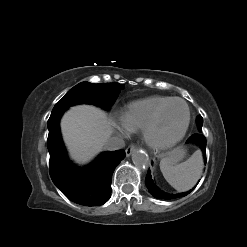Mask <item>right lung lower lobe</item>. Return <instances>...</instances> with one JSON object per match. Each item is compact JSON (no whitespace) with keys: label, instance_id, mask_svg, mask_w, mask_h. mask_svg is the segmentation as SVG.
I'll return each instance as SVG.
<instances>
[{"label":"right lung lower lobe","instance_id":"98d812e1","mask_svg":"<svg viewBox=\"0 0 247 247\" xmlns=\"http://www.w3.org/2000/svg\"><path fill=\"white\" fill-rule=\"evenodd\" d=\"M64 111H52L47 122L51 179L72 202L90 207L103 205L110 199L112 174L125 158V151L104 152L89 166L76 167L69 161L61 139L59 120Z\"/></svg>","mask_w":247,"mask_h":247}]
</instances>
